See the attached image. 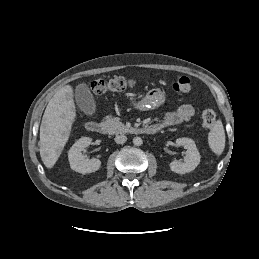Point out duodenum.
Returning a JSON list of instances; mask_svg holds the SVG:
<instances>
[{"label":"duodenum","mask_w":259,"mask_h":259,"mask_svg":"<svg viewBox=\"0 0 259 259\" xmlns=\"http://www.w3.org/2000/svg\"><path fill=\"white\" fill-rule=\"evenodd\" d=\"M86 129L91 133L104 134L106 132L105 126L96 121H89L86 123ZM160 130L158 124H150L139 128L137 131L142 134H155Z\"/></svg>","instance_id":"410a0bca"}]
</instances>
